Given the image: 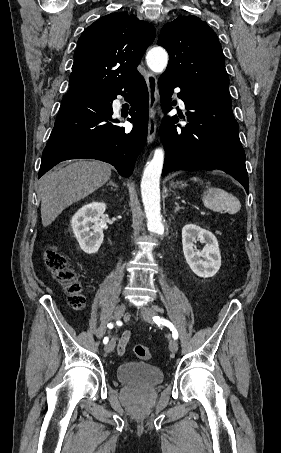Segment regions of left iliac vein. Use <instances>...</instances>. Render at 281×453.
<instances>
[{
  "label": "left iliac vein",
  "mask_w": 281,
  "mask_h": 453,
  "mask_svg": "<svg viewBox=\"0 0 281 453\" xmlns=\"http://www.w3.org/2000/svg\"><path fill=\"white\" fill-rule=\"evenodd\" d=\"M141 307L139 306L138 307V310L140 309ZM144 313H143V319L149 323H151V318H153L154 316H156V311L155 310H152V308L150 307H144ZM142 316V315H141ZM153 323V322H152ZM169 350L171 351V353H177V350H178V343L177 341H175L174 339L172 341H170L169 343Z\"/></svg>",
  "instance_id": "left-iliac-vein-1"
}]
</instances>
